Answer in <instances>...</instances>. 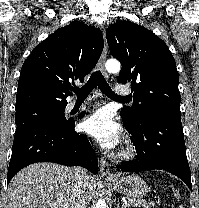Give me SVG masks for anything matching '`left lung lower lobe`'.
Here are the masks:
<instances>
[{
  "label": "left lung lower lobe",
  "mask_w": 199,
  "mask_h": 208,
  "mask_svg": "<svg viewBox=\"0 0 199 208\" xmlns=\"http://www.w3.org/2000/svg\"><path fill=\"white\" fill-rule=\"evenodd\" d=\"M123 124L132 135L137 156L134 161L118 165L119 170L123 172L165 170L182 179L192 191L181 115H152L135 130L124 121Z\"/></svg>",
  "instance_id": "left-lung-lower-lobe-1"
}]
</instances>
